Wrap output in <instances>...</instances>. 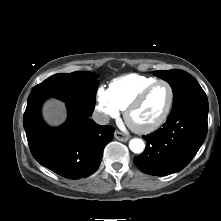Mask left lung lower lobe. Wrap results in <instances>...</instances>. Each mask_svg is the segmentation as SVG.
<instances>
[{
  "label": "left lung lower lobe",
  "instance_id": "1",
  "mask_svg": "<svg viewBox=\"0 0 221 221\" xmlns=\"http://www.w3.org/2000/svg\"><path fill=\"white\" fill-rule=\"evenodd\" d=\"M208 100L204 91L191 93L173 103L163 125L144 136L145 151L134 158L144 173L164 176L182 170L195 156L207 134Z\"/></svg>",
  "mask_w": 221,
  "mask_h": 221
}]
</instances>
